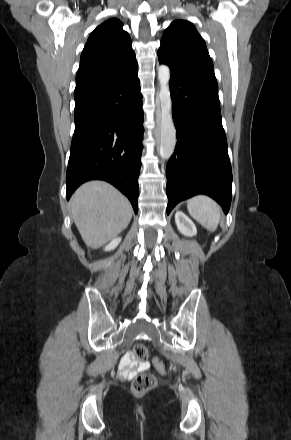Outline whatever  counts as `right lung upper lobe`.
<instances>
[{"mask_svg":"<svg viewBox=\"0 0 291 440\" xmlns=\"http://www.w3.org/2000/svg\"><path fill=\"white\" fill-rule=\"evenodd\" d=\"M116 18L90 35L80 58L76 87L112 81L138 69L132 41Z\"/></svg>","mask_w":291,"mask_h":440,"instance_id":"right-lung-upper-lobe-1","label":"right lung upper lobe"}]
</instances>
